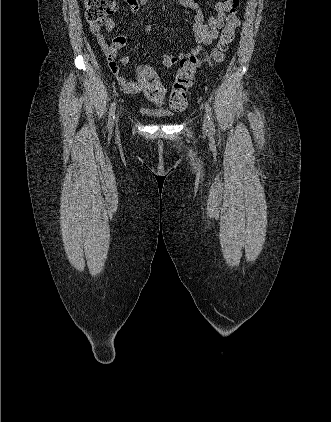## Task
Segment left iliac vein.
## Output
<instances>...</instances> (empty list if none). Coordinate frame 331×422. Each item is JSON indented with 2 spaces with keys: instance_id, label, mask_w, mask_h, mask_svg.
<instances>
[{
  "instance_id": "left-iliac-vein-1",
  "label": "left iliac vein",
  "mask_w": 331,
  "mask_h": 422,
  "mask_svg": "<svg viewBox=\"0 0 331 422\" xmlns=\"http://www.w3.org/2000/svg\"><path fill=\"white\" fill-rule=\"evenodd\" d=\"M203 128L207 132L210 130L209 121L206 116L203 118Z\"/></svg>"
}]
</instances>
